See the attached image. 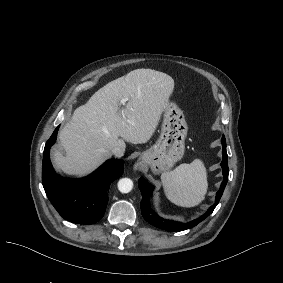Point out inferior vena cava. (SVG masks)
Listing matches in <instances>:
<instances>
[{
  "label": "inferior vena cava",
  "mask_w": 283,
  "mask_h": 283,
  "mask_svg": "<svg viewBox=\"0 0 283 283\" xmlns=\"http://www.w3.org/2000/svg\"><path fill=\"white\" fill-rule=\"evenodd\" d=\"M112 153H113L116 157H122L123 154H124V150H122V149L119 148V147H115V148H113Z\"/></svg>",
  "instance_id": "602c4592"
}]
</instances>
